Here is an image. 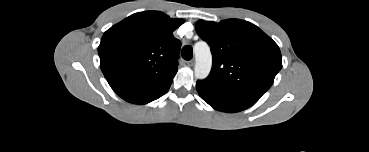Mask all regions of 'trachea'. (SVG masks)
Instances as JSON below:
<instances>
[{
	"instance_id": "obj_1",
	"label": "trachea",
	"mask_w": 369,
	"mask_h": 152,
	"mask_svg": "<svg viewBox=\"0 0 369 152\" xmlns=\"http://www.w3.org/2000/svg\"><path fill=\"white\" fill-rule=\"evenodd\" d=\"M181 55L185 60H191L193 56V49L190 45H186L181 50Z\"/></svg>"
}]
</instances>
